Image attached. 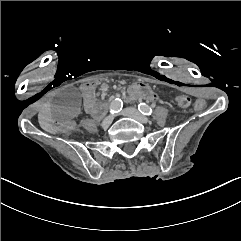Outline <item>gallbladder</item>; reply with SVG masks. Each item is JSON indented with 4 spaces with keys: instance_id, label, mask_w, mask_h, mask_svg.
<instances>
[{
    "instance_id": "1",
    "label": "gallbladder",
    "mask_w": 241,
    "mask_h": 241,
    "mask_svg": "<svg viewBox=\"0 0 241 241\" xmlns=\"http://www.w3.org/2000/svg\"><path fill=\"white\" fill-rule=\"evenodd\" d=\"M51 113L61 119H71L80 112V91L76 87H65L49 101Z\"/></svg>"
}]
</instances>
